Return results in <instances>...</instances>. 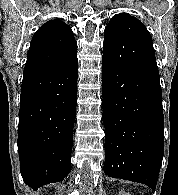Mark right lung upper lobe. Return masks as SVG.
I'll use <instances>...</instances> for the list:
<instances>
[{
	"mask_svg": "<svg viewBox=\"0 0 178 195\" xmlns=\"http://www.w3.org/2000/svg\"><path fill=\"white\" fill-rule=\"evenodd\" d=\"M78 62L77 42L70 27L50 20L33 35L24 75L67 69Z\"/></svg>",
	"mask_w": 178,
	"mask_h": 195,
	"instance_id": "cb5924a9",
	"label": "right lung upper lobe"
}]
</instances>
